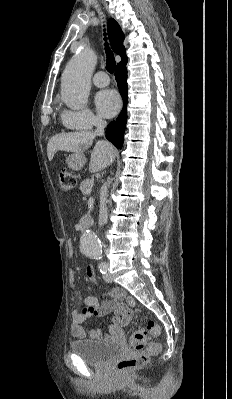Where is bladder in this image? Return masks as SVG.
<instances>
[{"instance_id":"1","label":"bladder","mask_w":232,"mask_h":399,"mask_svg":"<svg viewBox=\"0 0 232 399\" xmlns=\"http://www.w3.org/2000/svg\"><path fill=\"white\" fill-rule=\"evenodd\" d=\"M69 347L72 353L91 365H103L123 351L121 345L104 340H76Z\"/></svg>"}]
</instances>
